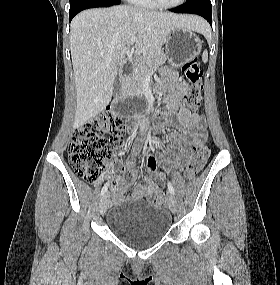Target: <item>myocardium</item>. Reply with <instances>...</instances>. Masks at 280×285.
<instances>
[{
	"mask_svg": "<svg viewBox=\"0 0 280 285\" xmlns=\"http://www.w3.org/2000/svg\"><path fill=\"white\" fill-rule=\"evenodd\" d=\"M153 2V4L161 9H175L178 8L179 6H181L182 4H184V2L186 0H179L178 2L174 3V4H163L160 0H151Z\"/></svg>",
	"mask_w": 280,
	"mask_h": 285,
	"instance_id": "obj_1",
	"label": "myocardium"
}]
</instances>
